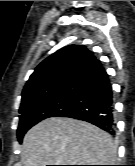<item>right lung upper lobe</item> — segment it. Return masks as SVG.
<instances>
[{
	"label": "right lung upper lobe",
	"instance_id": "obj_1",
	"mask_svg": "<svg viewBox=\"0 0 135 166\" xmlns=\"http://www.w3.org/2000/svg\"><path fill=\"white\" fill-rule=\"evenodd\" d=\"M101 66V62L85 46L61 48L36 67L22 91L21 104L69 86Z\"/></svg>",
	"mask_w": 135,
	"mask_h": 166
}]
</instances>
